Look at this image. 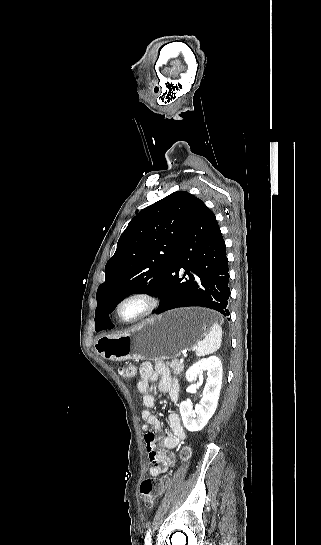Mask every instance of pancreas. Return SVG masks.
<instances>
[{
	"label": "pancreas",
	"mask_w": 321,
	"mask_h": 545,
	"mask_svg": "<svg viewBox=\"0 0 321 545\" xmlns=\"http://www.w3.org/2000/svg\"><path fill=\"white\" fill-rule=\"evenodd\" d=\"M166 365H169L174 375H181L182 371H184V363H181V361H177V359H173L171 363L170 361H167Z\"/></svg>",
	"instance_id": "pancreas-1"
}]
</instances>
